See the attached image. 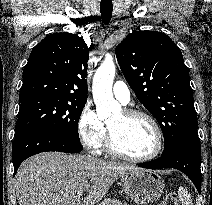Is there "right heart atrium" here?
<instances>
[{
	"label": "right heart atrium",
	"mask_w": 212,
	"mask_h": 205,
	"mask_svg": "<svg viewBox=\"0 0 212 205\" xmlns=\"http://www.w3.org/2000/svg\"><path fill=\"white\" fill-rule=\"evenodd\" d=\"M77 133L80 142L94 152L101 148L106 139V127L90 105H86L81 111Z\"/></svg>",
	"instance_id": "d8ad5b80"
}]
</instances>
